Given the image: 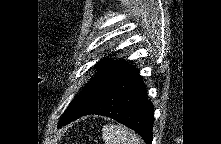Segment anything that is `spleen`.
I'll return each instance as SVG.
<instances>
[{
  "mask_svg": "<svg viewBox=\"0 0 221 144\" xmlns=\"http://www.w3.org/2000/svg\"><path fill=\"white\" fill-rule=\"evenodd\" d=\"M105 144H142L141 139L127 128L108 124L102 129Z\"/></svg>",
  "mask_w": 221,
  "mask_h": 144,
  "instance_id": "spleen-1",
  "label": "spleen"
}]
</instances>
